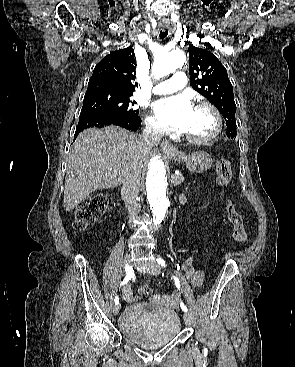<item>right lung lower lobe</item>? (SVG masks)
<instances>
[{"label": "right lung lower lobe", "mask_w": 295, "mask_h": 367, "mask_svg": "<svg viewBox=\"0 0 295 367\" xmlns=\"http://www.w3.org/2000/svg\"><path fill=\"white\" fill-rule=\"evenodd\" d=\"M107 125H117L131 131H137L141 125V118L139 115H99L81 117L76 127L74 140L84 129L92 127L101 128Z\"/></svg>", "instance_id": "right-lung-lower-lobe-1"}]
</instances>
